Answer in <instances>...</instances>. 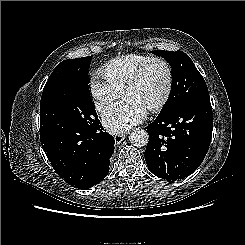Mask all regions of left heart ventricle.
<instances>
[{
    "label": "left heart ventricle",
    "mask_w": 245,
    "mask_h": 245,
    "mask_svg": "<svg viewBox=\"0 0 245 245\" xmlns=\"http://www.w3.org/2000/svg\"><path fill=\"white\" fill-rule=\"evenodd\" d=\"M166 84L165 67L159 62H153L147 67L141 80L127 90L125 96L135 98L149 109L160 101L165 92Z\"/></svg>",
    "instance_id": "b2bd125f"
}]
</instances>
